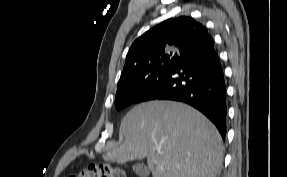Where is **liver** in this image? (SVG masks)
<instances>
[{"instance_id":"obj_1","label":"liver","mask_w":287,"mask_h":177,"mask_svg":"<svg viewBox=\"0 0 287 177\" xmlns=\"http://www.w3.org/2000/svg\"><path fill=\"white\" fill-rule=\"evenodd\" d=\"M120 135L123 142L110 146L103 159L124 164L146 157L153 177H215L223 161L216 127L183 103L149 101L135 106L123 118Z\"/></svg>"}]
</instances>
